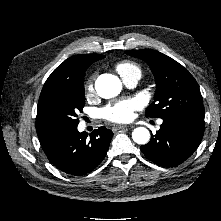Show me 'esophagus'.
Instances as JSON below:
<instances>
[{
  "instance_id": "esophagus-1",
  "label": "esophagus",
  "mask_w": 221,
  "mask_h": 221,
  "mask_svg": "<svg viewBox=\"0 0 221 221\" xmlns=\"http://www.w3.org/2000/svg\"><path fill=\"white\" fill-rule=\"evenodd\" d=\"M129 129V126L126 125H116L113 127V131H117V130H127Z\"/></svg>"
}]
</instances>
